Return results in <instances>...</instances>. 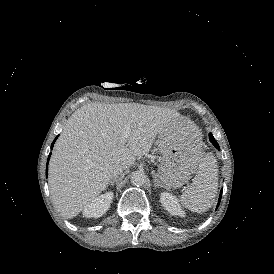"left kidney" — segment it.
Listing matches in <instances>:
<instances>
[{
    "mask_svg": "<svg viewBox=\"0 0 274 274\" xmlns=\"http://www.w3.org/2000/svg\"><path fill=\"white\" fill-rule=\"evenodd\" d=\"M160 198L164 208L168 210L171 214L184 215V211L178 204V200L173 195L168 193H162Z\"/></svg>",
    "mask_w": 274,
    "mask_h": 274,
    "instance_id": "left-kidney-1",
    "label": "left kidney"
}]
</instances>
